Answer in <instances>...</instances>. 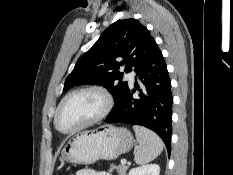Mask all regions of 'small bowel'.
I'll list each match as a JSON object with an SVG mask.
<instances>
[{
  "mask_svg": "<svg viewBox=\"0 0 233 175\" xmlns=\"http://www.w3.org/2000/svg\"><path fill=\"white\" fill-rule=\"evenodd\" d=\"M74 175H111V174H108L105 172L99 173V172H96L95 170L85 168V169L78 170Z\"/></svg>",
  "mask_w": 233,
  "mask_h": 175,
  "instance_id": "c3829d8e",
  "label": "small bowel"
}]
</instances>
